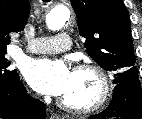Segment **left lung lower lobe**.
Returning a JSON list of instances; mask_svg holds the SVG:
<instances>
[{
  "label": "left lung lower lobe",
  "instance_id": "left-lung-lower-lobe-1",
  "mask_svg": "<svg viewBox=\"0 0 142 119\" xmlns=\"http://www.w3.org/2000/svg\"><path fill=\"white\" fill-rule=\"evenodd\" d=\"M142 117V88L138 80L116 84L107 109L89 119H140Z\"/></svg>",
  "mask_w": 142,
  "mask_h": 119
}]
</instances>
